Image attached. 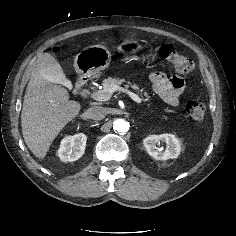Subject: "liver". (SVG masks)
<instances>
[{
    "label": "liver",
    "mask_w": 236,
    "mask_h": 236,
    "mask_svg": "<svg viewBox=\"0 0 236 236\" xmlns=\"http://www.w3.org/2000/svg\"><path fill=\"white\" fill-rule=\"evenodd\" d=\"M46 54V53H45ZM38 63L26 88L21 112L24 141L43 159L60 131L80 112V103L69 100L68 91L57 85Z\"/></svg>",
    "instance_id": "6515ba94"
}]
</instances>
